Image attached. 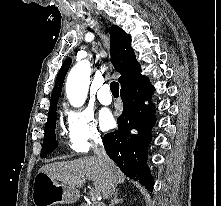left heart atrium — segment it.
I'll return each mask as SVG.
<instances>
[{
  "label": "left heart atrium",
  "instance_id": "39dd6f15",
  "mask_svg": "<svg viewBox=\"0 0 221 206\" xmlns=\"http://www.w3.org/2000/svg\"><path fill=\"white\" fill-rule=\"evenodd\" d=\"M99 121H100L101 127L104 130H108L111 127H113V125H114L113 115L107 109H103V110L100 111V113H99Z\"/></svg>",
  "mask_w": 221,
  "mask_h": 206
}]
</instances>
